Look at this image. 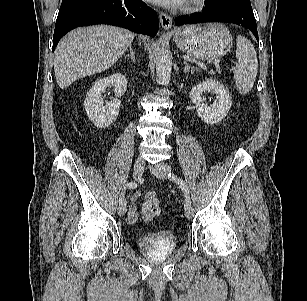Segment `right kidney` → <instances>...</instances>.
I'll list each match as a JSON object with an SVG mask.
<instances>
[{
  "label": "right kidney",
  "instance_id": "1",
  "mask_svg": "<svg viewBox=\"0 0 307 301\" xmlns=\"http://www.w3.org/2000/svg\"><path fill=\"white\" fill-rule=\"evenodd\" d=\"M110 85H114L115 96L121 97L127 90V79L123 74L115 73L97 80L87 93L84 101L89 119L99 128L110 126L119 115V102H105L102 98V93Z\"/></svg>",
  "mask_w": 307,
  "mask_h": 301
}]
</instances>
